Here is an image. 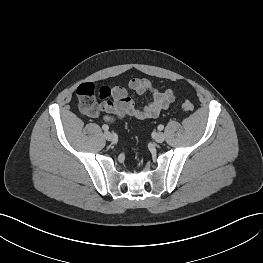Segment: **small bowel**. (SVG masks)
I'll return each mask as SVG.
<instances>
[{
    "instance_id": "1",
    "label": "small bowel",
    "mask_w": 263,
    "mask_h": 263,
    "mask_svg": "<svg viewBox=\"0 0 263 263\" xmlns=\"http://www.w3.org/2000/svg\"><path fill=\"white\" fill-rule=\"evenodd\" d=\"M132 91L138 95L149 94L150 100L143 106H137L130 97ZM112 100L101 102L87 113L90 117H101L107 122L126 117L137 120L156 118L167 109L175 100L172 90H160L146 78H132L127 87L115 86L112 88Z\"/></svg>"
}]
</instances>
